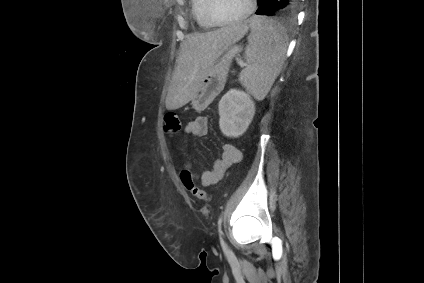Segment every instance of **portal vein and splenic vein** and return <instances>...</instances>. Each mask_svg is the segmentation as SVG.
Returning a JSON list of instances; mask_svg holds the SVG:
<instances>
[{"label":"portal vein and splenic vein","instance_id":"18ae733b","mask_svg":"<svg viewBox=\"0 0 424 283\" xmlns=\"http://www.w3.org/2000/svg\"><path fill=\"white\" fill-rule=\"evenodd\" d=\"M237 63L242 68L245 66V63L242 60H238Z\"/></svg>","mask_w":424,"mask_h":283}]
</instances>
